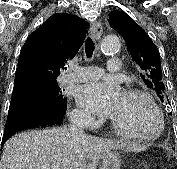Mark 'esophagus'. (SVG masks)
Listing matches in <instances>:
<instances>
[{
  "label": "esophagus",
  "instance_id": "obj_1",
  "mask_svg": "<svg viewBox=\"0 0 177 169\" xmlns=\"http://www.w3.org/2000/svg\"><path fill=\"white\" fill-rule=\"evenodd\" d=\"M102 32L103 28L99 21H95L91 24L90 34L94 39L99 40L102 35Z\"/></svg>",
  "mask_w": 177,
  "mask_h": 169
}]
</instances>
